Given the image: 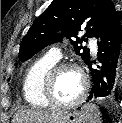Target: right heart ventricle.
Instances as JSON below:
<instances>
[{
    "mask_svg": "<svg viewBox=\"0 0 122 123\" xmlns=\"http://www.w3.org/2000/svg\"><path fill=\"white\" fill-rule=\"evenodd\" d=\"M56 63L57 61L44 56L27 70L23 81V95L29 105L37 108H46L50 105L44 98L43 84L47 72Z\"/></svg>",
    "mask_w": 122,
    "mask_h": 123,
    "instance_id": "e07e8e85",
    "label": "right heart ventricle"
}]
</instances>
